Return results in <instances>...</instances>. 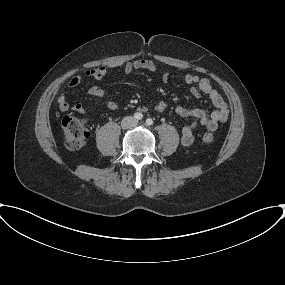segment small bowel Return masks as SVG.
<instances>
[{"label":"small bowel","instance_id":"c3829d8e","mask_svg":"<svg viewBox=\"0 0 285 285\" xmlns=\"http://www.w3.org/2000/svg\"><path fill=\"white\" fill-rule=\"evenodd\" d=\"M107 68L99 67L94 69H89L85 71L84 76L92 78L95 80H101L105 77L107 73ZM122 70L125 74H131L136 70H146L149 72H156L157 67L155 63L148 59H139L133 62H128L122 66ZM82 77L80 75L73 77L68 82L69 88H74L81 82ZM163 82L169 80V73H164L162 75ZM184 81L187 84L193 85L190 89V94L194 97H199L201 94L207 95L212 101L215 109L208 113L202 108H189L185 106H178L176 108V113L184 118H191L193 121L185 125L181 130V144L183 146H190L194 142V131L198 126L206 127L210 131H215L220 123L227 121L229 116V108L222 97V95L212 86L207 78H202L197 75L187 74L184 77ZM88 93L103 102L104 106L110 110H116L118 104L111 99L106 98L104 91L98 86H91L88 89ZM57 104L61 111H67L70 109V105L67 101L66 95L64 93L57 97ZM166 109V102L161 101L155 106L157 112H163ZM72 110L77 113H83L86 111L85 106L82 103H76L72 106ZM148 108L146 106H140V112H146Z\"/></svg>","mask_w":285,"mask_h":285}]
</instances>
